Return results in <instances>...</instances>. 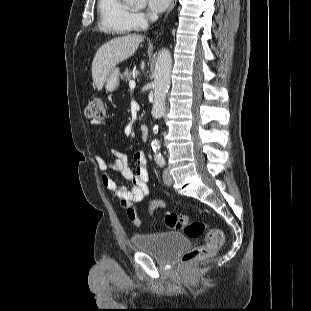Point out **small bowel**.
<instances>
[{
  "label": "small bowel",
  "mask_w": 311,
  "mask_h": 311,
  "mask_svg": "<svg viewBox=\"0 0 311 311\" xmlns=\"http://www.w3.org/2000/svg\"><path fill=\"white\" fill-rule=\"evenodd\" d=\"M104 124L103 121H91L94 128H98ZM112 160H106L101 154L95 156L96 164L103 172L101 181L103 185L111 191L120 200V205L126 210L128 219L137 227L142 225L135 204L144 202L150 196L148 186V168L147 161L143 151H136L131 159L134 163L132 168L129 164V157L123 152L113 150ZM112 173H120L122 177L130 182L129 186H121L112 177ZM164 207L163 202H155L149 208V214L153 215L155 207Z\"/></svg>",
  "instance_id": "obj_1"
}]
</instances>
